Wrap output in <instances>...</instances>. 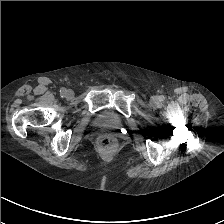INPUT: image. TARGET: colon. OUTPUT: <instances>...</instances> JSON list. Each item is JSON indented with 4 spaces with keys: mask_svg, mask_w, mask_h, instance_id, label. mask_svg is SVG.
Listing matches in <instances>:
<instances>
[{
    "mask_svg": "<svg viewBox=\"0 0 224 224\" xmlns=\"http://www.w3.org/2000/svg\"><path fill=\"white\" fill-rule=\"evenodd\" d=\"M98 144L102 147V148H108L113 146L114 144V140L113 138L109 137V136H102L99 138L98 140Z\"/></svg>",
    "mask_w": 224,
    "mask_h": 224,
    "instance_id": "obj_1",
    "label": "colon"
}]
</instances>
